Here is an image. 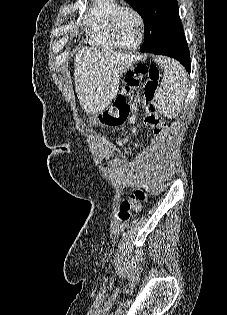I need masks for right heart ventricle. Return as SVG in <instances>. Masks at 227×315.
Returning a JSON list of instances; mask_svg holds the SVG:
<instances>
[{
	"label": "right heart ventricle",
	"instance_id": "e07e8e85",
	"mask_svg": "<svg viewBox=\"0 0 227 315\" xmlns=\"http://www.w3.org/2000/svg\"><path fill=\"white\" fill-rule=\"evenodd\" d=\"M120 6L118 0H92L84 14L92 45L105 49L116 48L109 36V24L112 15Z\"/></svg>",
	"mask_w": 227,
	"mask_h": 315
}]
</instances>
